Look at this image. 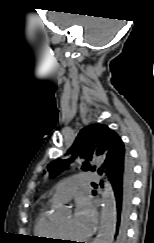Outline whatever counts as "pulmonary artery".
Returning <instances> with one entry per match:
<instances>
[{
  "mask_svg": "<svg viewBox=\"0 0 154 243\" xmlns=\"http://www.w3.org/2000/svg\"><path fill=\"white\" fill-rule=\"evenodd\" d=\"M99 176L96 172H83L78 175L58 184L51 196L53 202H67L77 192V190L85 183L97 181Z\"/></svg>",
  "mask_w": 154,
  "mask_h": 243,
  "instance_id": "1",
  "label": "pulmonary artery"
}]
</instances>
